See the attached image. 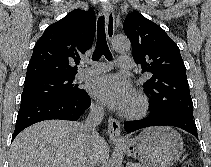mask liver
Instances as JSON below:
<instances>
[{
  "label": "liver",
  "instance_id": "6515ba94",
  "mask_svg": "<svg viewBox=\"0 0 211 167\" xmlns=\"http://www.w3.org/2000/svg\"><path fill=\"white\" fill-rule=\"evenodd\" d=\"M107 157L102 138L93 143L80 122L46 120L23 130L13 141L9 167H82L88 151Z\"/></svg>",
  "mask_w": 211,
  "mask_h": 167
}]
</instances>
